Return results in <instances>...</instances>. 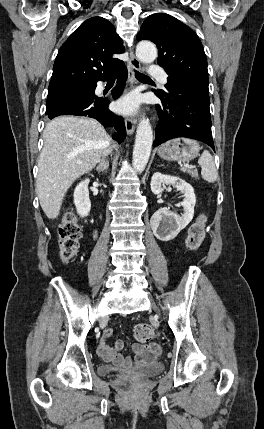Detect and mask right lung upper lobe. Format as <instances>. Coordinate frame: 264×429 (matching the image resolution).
<instances>
[{"label":"right lung upper lobe","instance_id":"right-lung-upper-lobe-1","mask_svg":"<svg viewBox=\"0 0 264 429\" xmlns=\"http://www.w3.org/2000/svg\"><path fill=\"white\" fill-rule=\"evenodd\" d=\"M122 43L107 19L86 20L60 48L49 88L98 81L123 62L112 58L124 52Z\"/></svg>","mask_w":264,"mask_h":429}]
</instances>
